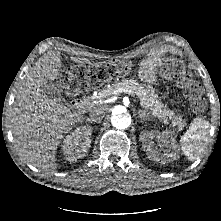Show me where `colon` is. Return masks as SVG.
Returning a JSON list of instances; mask_svg holds the SVG:
<instances>
[{"instance_id": "5ec220e1", "label": "colon", "mask_w": 221, "mask_h": 221, "mask_svg": "<svg viewBox=\"0 0 221 221\" xmlns=\"http://www.w3.org/2000/svg\"><path fill=\"white\" fill-rule=\"evenodd\" d=\"M114 73L115 69L112 66L98 68L75 66L63 72L59 81L69 95H77L89 83L105 81ZM162 74L175 79L194 111L200 112L205 109L202 87L184 67L168 63L163 66Z\"/></svg>"}]
</instances>
